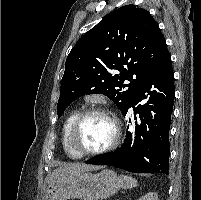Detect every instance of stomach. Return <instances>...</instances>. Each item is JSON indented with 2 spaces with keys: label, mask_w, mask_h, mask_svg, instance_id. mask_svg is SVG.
<instances>
[{
  "label": "stomach",
  "mask_w": 201,
  "mask_h": 200,
  "mask_svg": "<svg viewBox=\"0 0 201 200\" xmlns=\"http://www.w3.org/2000/svg\"><path fill=\"white\" fill-rule=\"evenodd\" d=\"M119 187V178L112 170L105 169L95 174L78 172L51 182L44 200H102L117 193Z\"/></svg>",
  "instance_id": "1"
}]
</instances>
